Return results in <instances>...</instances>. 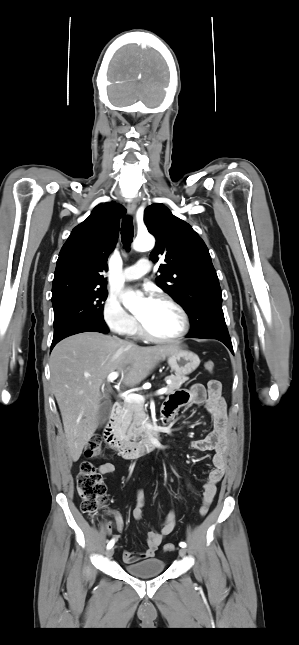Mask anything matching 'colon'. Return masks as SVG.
I'll return each instance as SVG.
<instances>
[{
    "label": "colon",
    "mask_w": 299,
    "mask_h": 645,
    "mask_svg": "<svg viewBox=\"0 0 299 645\" xmlns=\"http://www.w3.org/2000/svg\"><path fill=\"white\" fill-rule=\"evenodd\" d=\"M204 365L209 372H213L214 363L212 361L208 360ZM209 387L216 390L220 387V383L217 380H212L209 382ZM100 454L101 442L99 438L94 437L90 439L86 444L84 449V457L90 460L99 457ZM76 481L77 492L82 499L81 510L90 519H95L98 515L100 506L106 500V486L102 480V477L96 471V468L91 462L84 461L80 465ZM208 510V505H202L199 510L200 516H206ZM164 550L166 552H172L175 550V546L172 543H168L164 546Z\"/></svg>",
    "instance_id": "obj_1"
}]
</instances>
